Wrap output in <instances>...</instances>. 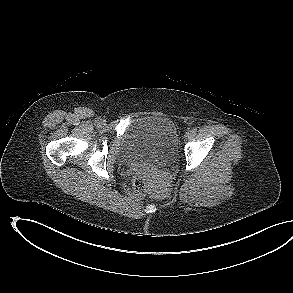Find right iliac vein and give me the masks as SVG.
Masks as SVG:
<instances>
[{
	"mask_svg": "<svg viewBox=\"0 0 293 293\" xmlns=\"http://www.w3.org/2000/svg\"><path fill=\"white\" fill-rule=\"evenodd\" d=\"M99 123L102 124V125H104V124H105V121L101 119V120L99 121Z\"/></svg>",
	"mask_w": 293,
	"mask_h": 293,
	"instance_id": "right-iliac-vein-1",
	"label": "right iliac vein"
}]
</instances>
